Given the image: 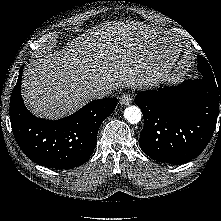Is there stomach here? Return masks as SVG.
Here are the masks:
<instances>
[{"mask_svg": "<svg viewBox=\"0 0 221 221\" xmlns=\"http://www.w3.org/2000/svg\"><path fill=\"white\" fill-rule=\"evenodd\" d=\"M152 44L159 60V70L154 74L152 86L163 83L171 72L181 51V43L168 33L156 32L152 35Z\"/></svg>", "mask_w": 221, "mask_h": 221, "instance_id": "1", "label": "stomach"}]
</instances>
